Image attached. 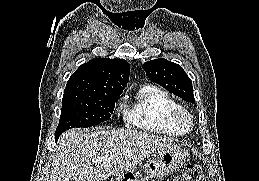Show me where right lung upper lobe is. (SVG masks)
Wrapping results in <instances>:
<instances>
[{"label":"right lung upper lobe","instance_id":"cb5924a9","mask_svg":"<svg viewBox=\"0 0 259 181\" xmlns=\"http://www.w3.org/2000/svg\"><path fill=\"white\" fill-rule=\"evenodd\" d=\"M124 59L95 58L82 64L69 78L65 92L79 91L120 95L129 79Z\"/></svg>","mask_w":259,"mask_h":181}]
</instances>
